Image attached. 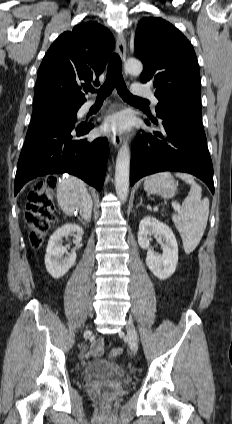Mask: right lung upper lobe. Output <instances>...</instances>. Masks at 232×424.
I'll use <instances>...</instances> for the list:
<instances>
[{
  "label": "right lung upper lobe",
  "instance_id": "1",
  "mask_svg": "<svg viewBox=\"0 0 232 424\" xmlns=\"http://www.w3.org/2000/svg\"><path fill=\"white\" fill-rule=\"evenodd\" d=\"M115 41L97 22L76 25L51 45L40 65L33 108L47 105L81 106L84 82L99 83Z\"/></svg>",
  "mask_w": 232,
  "mask_h": 424
}]
</instances>
